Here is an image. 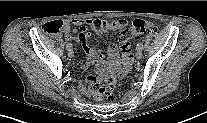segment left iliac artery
Returning <instances> with one entry per match:
<instances>
[{
    "label": "left iliac artery",
    "mask_w": 207,
    "mask_h": 123,
    "mask_svg": "<svg viewBox=\"0 0 207 123\" xmlns=\"http://www.w3.org/2000/svg\"><path fill=\"white\" fill-rule=\"evenodd\" d=\"M137 48L143 49V44L141 42L137 43Z\"/></svg>",
    "instance_id": "obj_1"
}]
</instances>
